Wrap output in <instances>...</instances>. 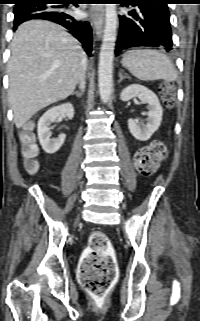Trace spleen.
Masks as SVG:
<instances>
[{
	"instance_id": "spleen-1",
	"label": "spleen",
	"mask_w": 200,
	"mask_h": 321,
	"mask_svg": "<svg viewBox=\"0 0 200 321\" xmlns=\"http://www.w3.org/2000/svg\"><path fill=\"white\" fill-rule=\"evenodd\" d=\"M122 64L142 81L177 79V72L170 58L155 49L130 50L124 54Z\"/></svg>"
}]
</instances>
